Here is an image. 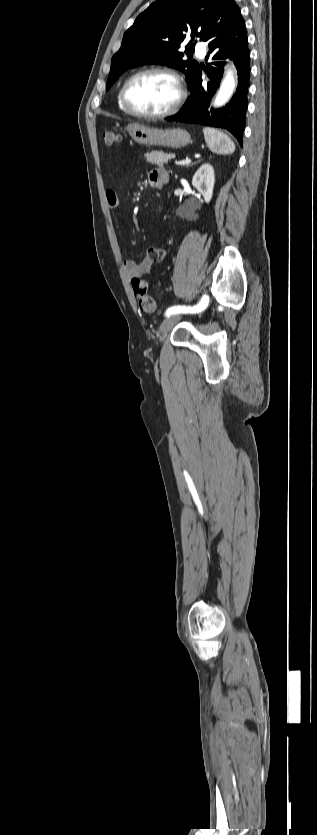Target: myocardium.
I'll return each mask as SVG.
<instances>
[{
	"instance_id": "myocardium-1",
	"label": "myocardium",
	"mask_w": 317,
	"mask_h": 835,
	"mask_svg": "<svg viewBox=\"0 0 317 835\" xmlns=\"http://www.w3.org/2000/svg\"><path fill=\"white\" fill-rule=\"evenodd\" d=\"M148 74H162V75L168 76L175 82V84L177 86L178 95H177L176 100L174 101V103L169 108H167L166 110H164L162 112H159V113L151 114V113L141 112V111L137 110L136 108H134V106L131 104V102L129 101V98H128V90H129L130 85L136 79H138L139 77L144 76V75H148ZM120 96H121V101H122L124 107L126 108V110L130 114H132L136 117H139V118L154 120V119L165 118V117H168V116H171V115L175 114L180 109V107L182 106V104H183V102L186 98V90H185V87H184V84H183V81H182L181 77L174 70L169 69V68H165V67L154 66V67H148V68L142 69V70L134 73L133 75H131L124 82V84L121 88Z\"/></svg>"
}]
</instances>
